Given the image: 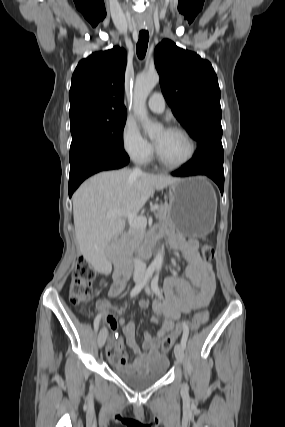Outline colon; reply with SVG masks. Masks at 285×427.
Returning a JSON list of instances; mask_svg holds the SVG:
<instances>
[{
    "instance_id": "colon-1",
    "label": "colon",
    "mask_w": 285,
    "mask_h": 427,
    "mask_svg": "<svg viewBox=\"0 0 285 427\" xmlns=\"http://www.w3.org/2000/svg\"><path fill=\"white\" fill-rule=\"evenodd\" d=\"M202 257L204 260L209 261L214 258L215 251L211 244L205 243L201 248ZM97 273L91 265L84 259L79 260L72 273L70 286H69V300L75 305L88 302L93 292L95 291ZM204 312H197L194 314L191 322L188 325L177 326L171 335L164 338L162 342V350L167 352L172 348L174 338L180 336L182 332L189 330H197L204 321ZM115 361L120 360V355L117 352L112 354Z\"/></svg>"
}]
</instances>
